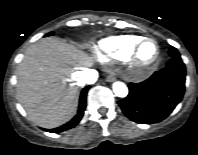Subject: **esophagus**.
<instances>
[{
    "instance_id": "34e87169",
    "label": "esophagus",
    "mask_w": 198,
    "mask_h": 155,
    "mask_svg": "<svg viewBox=\"0 0 198 155\" xmlns=\"http://www.w3.org/2000/svg\"><path fill=\"white\" fill-rule=\"evenodd\" d=\"M115 80L114 78V75L110 74L108 77H107V81L108 82H113Z\"/></svg>"
}]
</instances>
